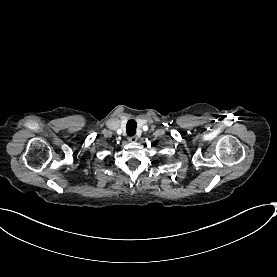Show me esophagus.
I'll list each match as a JSON object with an SVG mask.
<instances>
[{
    "mask_svg": "<svg viewBox=\"0 0 277 277\" xmlns=\"http://www.w3.org/2000/svg\"><path fill=\"white\" fill-rule=\"evenodd\" d=\"M137 140H138V137H137V136H129V137H128V141H129V142L134 143V142H137Z\"/></svg>",
    "mask_w": 277,
    "mask_h": 277,
    "instance_id": "esophagus-1",
    "label": "esophagus"
}]
</instances>
